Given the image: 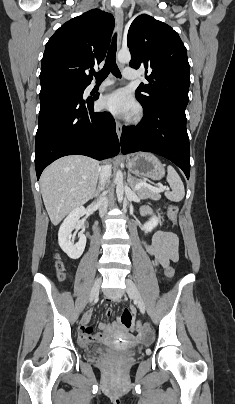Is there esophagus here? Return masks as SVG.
<instances>
[{"mask_svg": "<svg viewBox=\"0 0 235 404\" xmlns=\"http://www.w3.org/2000/svg\"><path fill=\"white\" fill-rule=\"evenodd\" d=\"M115 19H116L117 30H118L117 47L119 49L122 44L123 21H124V15H123V11L121 8H117L115 10ZM122 129H123L122 124L118 120H116V133H117L119 140L121 138Z\"/></svg>", "mask_w": 235, "mask_h": 404, "instance_id": "1", "label": "esophagus"}]
</instances>
